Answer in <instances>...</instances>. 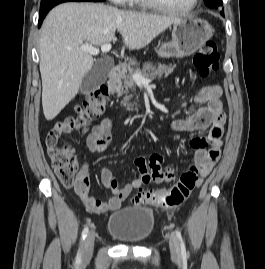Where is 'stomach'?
Here are the masks:
<instances>
[{"label":"stomach","mask_w":265,"mask_h":269,"mask_svg":"<svg viewBox=\"0 0 265 269\" xmlns=\"http://www.w3.org/2000/svg\"><path fill=\"white\" fill-rule=\"evenodd\" d=\"M212 26L203 19L181 18L173 24L172 41L164 43L158 50L163 58H182L192 55L200 49L213 35ZM150 68L149 64L145 65Z\"/></svg>","instance_id":"0dacf381"}]
</instances>
